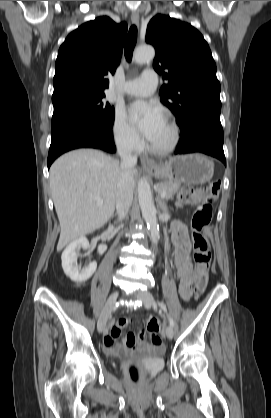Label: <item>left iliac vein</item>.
I'll use <instances>...</instances> for the list:
<instances>
[{
    "label": "left iliac vein",
    "mask_w": 271,
    "mask_h": 418,
    "mask_svg": "<svg viewBox=\"0 0 271 418\" xmlns=\"http://www.w3.org/2000/svg\"><path fill=\"white\" fill-rule=\"evenodd\" d=\"M135 297L141 300L146 308H151L152 303V294L148 291H140L138 292ZM165 334L168 339H172L174 336V330L170 325L165 326Z\"/></svg>",
    "instance_id": "left-iliac-vein-1"
}]
</instances>
